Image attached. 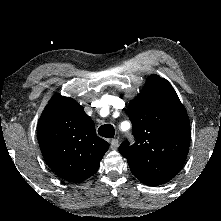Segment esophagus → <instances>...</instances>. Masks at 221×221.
Segmentation results:
<instances>
[{"mask_svg":"<svg viewBox=\"0 0 221 221\" xmlns=\"http://www.w3.org/2000/svg\"><path fill=\"white\" fill-rule=\"evenodd\" d=\"M110 145H111V149L116 150L119 145L118 139H112L110 142Z\"/></svg>","mask_w":221,"mask_h":221,"instance_id":"obj_1","label":"esophagus"}]
</instances>
